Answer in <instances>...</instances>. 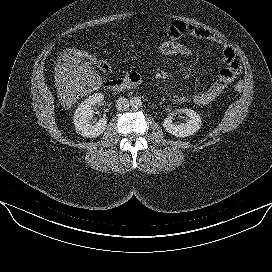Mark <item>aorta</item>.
<instances>
[{
    "label": "aorta",
    "instance_id": "obj_1",
    "mask_svg": "<svg viewBox=\"0 0 272 272\" xmlns=\"http://www.w3.org/2000/svg\"><path fill=\"white\" fill-rule=\"evenodd\" d=\"M129 103L132 109H138L142 106V101L139 97H132Z\"/></svg>",
    "mask_w": 272,
    "mask_h": 272
}]
</instances>
